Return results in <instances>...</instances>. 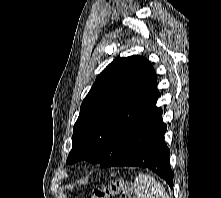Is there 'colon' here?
I'll list each match as a JSON object with an SVG mask.
<instances>
[{
	"label": "colon",
	"instance_id": "5ec220e1",
	"mask_svg": "<svg viewBox=\"0 0 221 198\" xmlns=\"http://www.w3.org/2000/svg\"><path fill=\"white\" fill-rule=\"evenodd\" d=\"M133 198L129 182L119 177L102 187H96L92 190L90 198Z\"/></svg>",
	"mask_w": 221,
	"mask_h": 198
}]
</instances>
